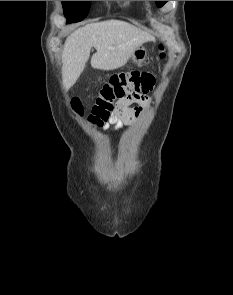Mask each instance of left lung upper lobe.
I'll list each match as a JSON object with an SVG mask.
<instances>
[{"mask_svg": "<svg viewBox=\"0 0 233 295\" xmlns=\"http://www.w3.org/2000/svg\"><path fill=\"white\" fill-rule=\"evenodd\" d=\"M167 1H156L158 7H162Z\"/></svg>", "mask_w": 233, "mask_h": 295, "instance_id": "obj_1", "label": "left lung upper lobe"}]
</instances>
